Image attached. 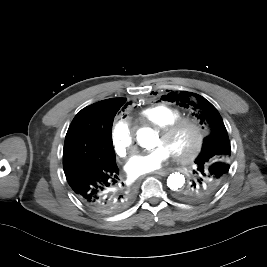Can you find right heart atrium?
Masks as SVG:
<instances>
[{
  "label": "right heart atrium",
  "mask_w": 267,
  "mask_h": 267,
  "mask_svg": "<svg viewBox=\"0 0 267 267\" xmlns=\"http://www.w3.org/2000/svg\"><path fill=\"white\" fill-rule=\"evenodd\" d=\"M111 141L118 157H125L133 146L134 135L129 121L121 116L113 123Z\"/></svg>",
  "instance_id": "right-heart-atrium-1"
}]
</instances>
